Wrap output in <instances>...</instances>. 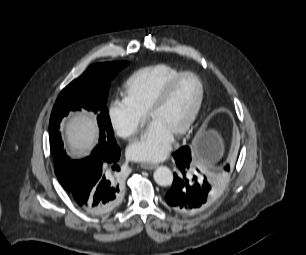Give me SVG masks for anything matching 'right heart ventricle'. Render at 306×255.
Wrapping results in <instances>:
<instances>
[{
	"label": "right heart ventricle",
	"instance_id": "right-heart-ventricle-1",
	"mask_svg": "<svg viewBox=\"0 0 306 255\" xmlns=\"http://www.w3.org/2000/svg\"><path fill=\"white\" fill-rule=\"evenodd\" d=\"M181 72L180 69L164 63L142 67L124 84V100L138 113L145 115L161 89Z\"/></svg>",
	"mask_w": 306,
	"mask_h": 255
}]
</instances>
